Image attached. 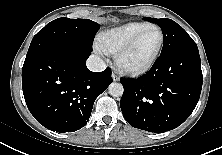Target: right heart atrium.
<instances>
[{
    "instance_id": "d8ad5b80",
    "label": "right heart atrium",
    "mask_w": 222,
    "mask_h": 155,
    "mask_svg": "<svg viewBox=\"0 0 222 155\" xmlns=\"http://www.w3.org/2000/svg\"><path fill=\"white\" fill-rule=\"evenodd\" d=\"M96 49H97L98 52H101V48L100 47L97 46Z\"/></svg>"
}]
</instances>
